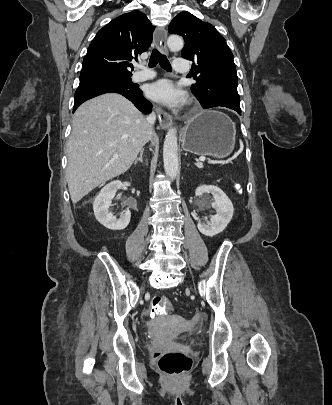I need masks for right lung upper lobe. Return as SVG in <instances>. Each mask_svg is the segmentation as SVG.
I'll return each instance as SVG.
<instances>
[{
  "mask_svg": "<svg viewBox=\"0 0 332 405\" xmlns=\"http://www.w3.org/2000/svg\"><path fill=\"white\" fill-rule=\"evenodd\" d=\"M153 25L147 16L132 11L113 19L98 31L83 59L80 76L118 74L131 76L129 63L147 51Z\"/></svg>",
  "mask_w": 332,
  "mask_h": 405,
  "instance_id": "cb5924a9",
  "label": "right lung upper lobe"
}]
</instances>
